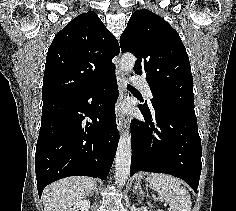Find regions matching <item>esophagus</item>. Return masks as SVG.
I'll list each match as a JSON object with an SVG mask.
<instances>
[{
    "label": "esophagus",
    "instance_id": "34e87169",
    "mask_svg": "<svg viewBox=\"0 0 236 211\" xmlns=\"http://www.w3.org/2000/svg\"><path fill=\"white\" fill-rule=\"evenodd\" d=\"M116 78H117V84H118V90H119V96L115 105L116 124H117L118 130L121 131L123 129V116L121 113V103L124 98V74L122 72V69L119 63V57H118V63L116 65Z\"/></svg>",
    "mask_w": 236,
    "mask_h": 211
}]
</instances>
